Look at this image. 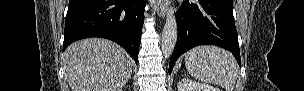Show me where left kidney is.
Segmentation results:
<instances>
[{"label":"left kidney","mask_w":304,"mask_h":91,"mask_svg":"<svg viewBox=\"0 0 304 91\" xmlns=\"http://www.w3.org/2000/svg\"><path fill=\"white\" fill-rule=\"evenodd\" d=\"M178 91H220V89L208 84H200L189 79H182L178 83Z\"/></svg>","instance_id":"1"}]
</instances>
